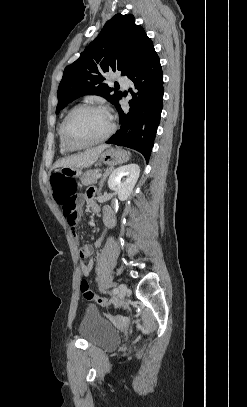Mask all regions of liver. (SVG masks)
<instances>
[{
    "instance_id": "obj_1",
    "label": "liver",
    "mask_w": 247,
    "mask_h": 407,
    "mask_svg": "<svg viewBox=\"0 0 247 407\" xmlns=\"http://www.w3.org/2000/svg\"><path fill=\"white\" fill-rule=\"evenodd\" d=\"M107 145H100L93 149H89L85 152L77 155L65 157L56 162L55 168L69 167V168H83L91 166L96 162L100 154L107 148Z\"/></svg>"
}]
</instances>
